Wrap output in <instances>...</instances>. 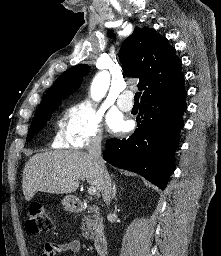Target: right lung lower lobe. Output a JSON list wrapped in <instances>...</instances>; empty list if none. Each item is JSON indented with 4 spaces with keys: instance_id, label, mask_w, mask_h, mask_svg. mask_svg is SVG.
I'll return each instance as SVG.
<instances>
[{
    "instance_id": "right-lung-lower-lobe-1",
    "label": "right lung lower lobe",
    "mask_w": 221,
    "mask_h": 256,
    "mask_svg": "<svg viewBox=\"0 0 221 256\" xmlns=\"http://www.w3.org/2000/svg\"><path fill=\"white\" fill-rule=\"evenodd\" d=\"M186 94L184 89L141 101L138 128L127 139L107 140L103 158L165 189L175 169L174 154L184 125Z\"/></svg>"
}]
</instances>
